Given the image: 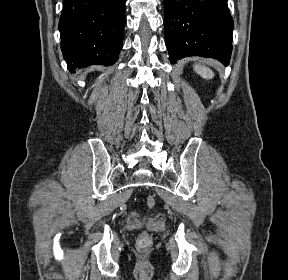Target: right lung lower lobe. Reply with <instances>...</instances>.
<instances>
[{
    "mask_svg": "<svg viewBox=\"0 0 288 280\" xmlns=\"http://www.w3.org/2000/svg\"><path fill=\"white\" fill-rule=\"evenodd\" d=\"M126 0H64L61 50L69 70L112 65L122 48Z\"/></svg>",
    "mask_w": 288,
    "mask_h": 280,
    "instance_id": "obj_1",
    "label": "right lung lower lobe"
}]
</instances>
